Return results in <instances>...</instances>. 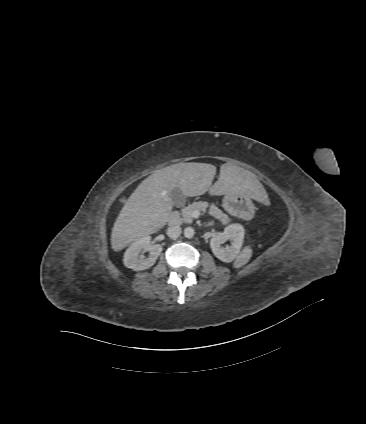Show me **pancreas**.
I'll list each match as a JSON object with an SVG mask.
<instances>
[{"label":"pancreas","mask_w":366,"mask_h":424,"mask_svg":"<svg viewBox=\"0 0 366 424\" xmlns=\"http://www.w3.org/2000/svg\"><path fill=\"white\" fill-rule=\"evenodd\" d=\"M209 207L208 213L220 221L222 224H228L231 219L224 214L217 206L214 204L209 205L207 202H195L193 204L184 207L181 211L182 221L185 223H192L191 213L193 211L206 212V209Z\"/></svg>","instance_id":"1"}]
</instances>
